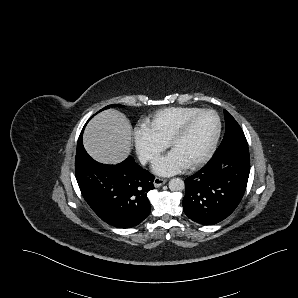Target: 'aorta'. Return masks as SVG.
Returning a JSON list of instances; mask_svg holds the SVG:
<instances>
[{"label":"aorta","instance_id":"aorta-1","mask_svg":"<svg viewBox=\"0 0 298 298\" xmlns=\"http://www.w3.org/2000/svg\"><path fill=\"white\" fill-rule=\"evenodd\" d=\"M168 187L171 191H179L185 188V183L180 177H174L169 180Z\"/></svg>","mask_w":298,"mask_h":298}]
</instances>
